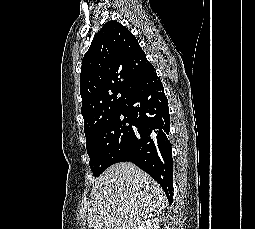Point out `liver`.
<instances>
[{
    "instance_id": "1",
    "label": "liver",
    "mask_w": 255,
    "mask_h": 229,
    "mask_svg": "<svg viewBox=\"0 0 255 229\" xmlns=\"http://www.w3.org/2000/svg\"><path fill=\"white\" fill-rule=\"evenodd\" d=\"M87 222L92 229H138L165 207L161 186L131 162L109 167L91 191Z\"/></svg>"
}]
</instances>
